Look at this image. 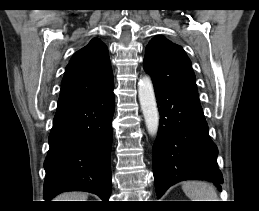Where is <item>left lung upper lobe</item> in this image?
I'll list each match as a JSON object with an SVG mask.
<instances>
[{
    "label": "left lung upper lobe",
    "mask_w": 259,
    "mask_h": 211,
    "mask_svg": "<svg viewBox=\"0 0 259 211\" xmlns=\"http://www.w3.org/2000/svg\"><path fill=\"white\" fill-rule=\"evenodd\" d=\"M144 70L157 87L198 96L195 75L185 51L163 36L151 39L145 50Z\"/></svg>",
    "instance_id": "obj_1"
}]
</instances>
